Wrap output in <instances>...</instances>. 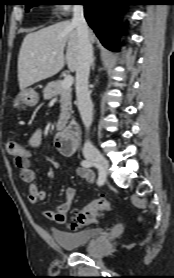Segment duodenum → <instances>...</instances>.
<instances>
[{
    "label": "duodenum",
    "instance_id": "duodenum-1",
    "mask_svg": "<svg viewBox=\"0 0 174 278\" xmlns=\"http://www.w3.org/2000/svg\"><path fill=\"white\" fill-rule=\"evenodd\" d=\"M77 133V123L71 121L68 126L56 134L55 145L63 155L69 156L74 153L77 142Z\"/></svg>",
    "mask_w": 174,
    "mask_h": 278
}]
</instances>
